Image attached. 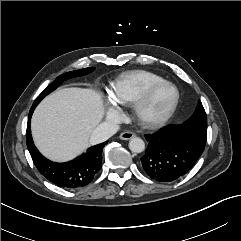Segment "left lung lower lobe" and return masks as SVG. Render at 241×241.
<instances>
[{
  "mask_svg": "<svg viewBox=\"0 0 241 241\" xmlns=\"http://www.w3.org/2000/svg\"><path fill=\"white\" fill-rule=\"evenodd\" d=\"M148 146L141 165L154 180L175 181L189 172L204 151L206 141L193 129L168 125L145 135Z\"/></svg>",
  "mask_w": 241,
  "mask_h": 241,
  "instance_id": "1",
  "label": "left lung lower lobe"
}]
</instances>
